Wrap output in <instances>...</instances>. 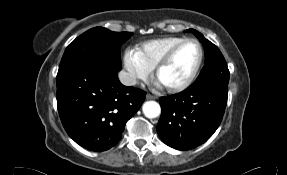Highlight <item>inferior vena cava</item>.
Here are the masks:
<instances>
[{"mask_svg":"<svg viewBox=\"0 0 287 175\" xmlns=\"http://www.w3.org/2000/svg\"><path fill=\"white\" fill-rule=\"evenodd\" d=\"M119 80L125 86H133L136 84V77L126 71H120Z\"/></svg>","mask_w":287,"mask_h":175,"instance_id":"602c4592","label":"inferior vena cava"}]
</instances>
